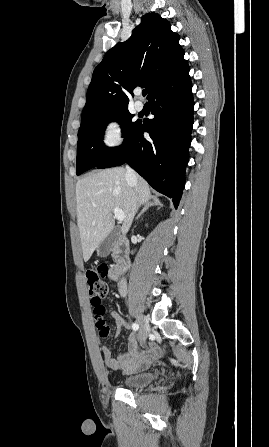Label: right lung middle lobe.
<instances>
[{
    "label": "right lung middle lobe",
    "instance_id": "dd1d6c3e",
    "mask_svg": "<svg viewBox=\"0 0 269 447\" xmlns=\"http://www.w3.org/2000/svg\"><path fill=\"white\" fill-rule=\"evenodd\" d=\"M133 115L128 108L108 112L91 123L81 127L78 132L76 174L97 167L109 158L121 146L109 148L103 143V135L107 124L113 120L120 122L124 143L138 128L139 121H132Z\"/></svg>",
    "mask_w": 269,
    "mask_h": 447
}]
</instances>
